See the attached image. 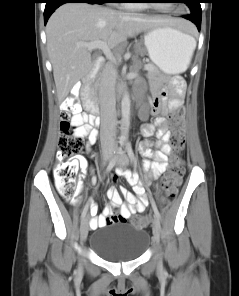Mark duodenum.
Segmentation results:
<instances>
[{"label":"duodenum","mask_w":239,"mask_h":296,"mask_svg":"<svg viewBox=\"0 0 239 296\" xmlns=\"http://www.w3.org/2000/svg\"><path fill=\"white\" fill-rule=\"evenodd\" d=\"M102 58L96 59L95 65L88 77L75 86V94L82 92V104L92 114V123L95 127L100 125L99 106L93 95V84L98 74Z\"/></svg>","instance_id":"duodenum-1"}]
</instances>
